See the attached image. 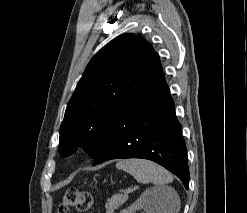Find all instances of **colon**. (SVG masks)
Masks as SVG:
<instances>
[{
    "mask_svg": "<svg viewBox=\"0 0 247 213\" xmlns=\"http://www.w3.org/2000/svg\"><path fill=\"white\" fill-rule=\"evenodd\" d=\"M92 205L93 198L89 192L70 188L66 191L58 207V213H70L72 209L81 213H88Z\"/></svg>",
    "mask_w": 247,
    "mask_h": 213,
    "instance_id": "5ec220e1",
    "label": "colon"
}]
</instances>
